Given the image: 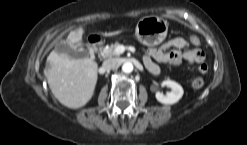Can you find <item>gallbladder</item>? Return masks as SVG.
<instances>
[{
    "mask_svg": "<svg viewBox=\"0 0 247 145\" xmlns=\"http://www.w3.org/2000/svg\"><path fill=\"white\" fill-rule=\"evenodd\" d=\"M55 51L58 54L65 53L73 59L88 57L89 52L84 48H77L76 46L70 45L65 41H59L55 45Z\"/></svg>",
    "mask_w": 247,
    "mask_h": 145,
    "instance_id": "obj_1",
    "label": "gallbladder"
}]
</instances>
